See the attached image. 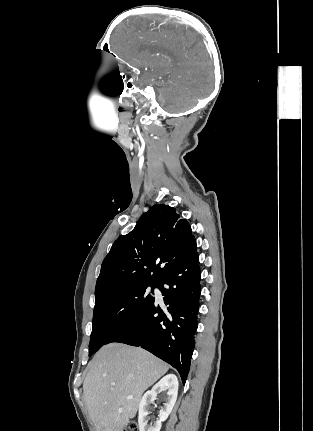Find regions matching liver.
<instances>
[{"label": "liver", "mask_w": 313, "mask_h": 431, "mask_svg": "<svg viewBox=\"0 0 313 431\" xmlns=\"http://www.w3.org/2000/svg\"><path fill=\"white\" fill-rule=\"evenodd\" d=\"M168 369L142 348L122 343L103 346L89 363L83 383V397L96 431H123L135 417L144 391Z\"/></svg>", "instance_id": "liver-1"}]
</instances>
